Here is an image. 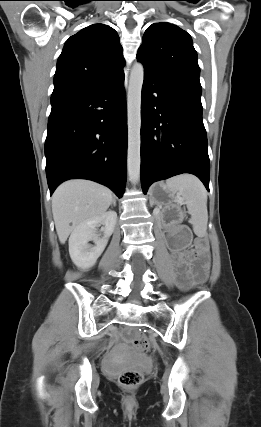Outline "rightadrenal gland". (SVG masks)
I'll list each match as a JSON object with an SVG mask.
<instances>
[{
  "mask_svg": "<svg viewBox=\"0 0 261 427\" xmlns=\"http://www.w3.org/2000/svg\"><path fill=\"white\" fill-rule=\"evenodd\" d=\"M111 205H113L114 207L116 206V200L113 199Z\"/></svg>",
  "mask_w": 261,
  "mask_h": 427,
  "instance_id": "obj_1",
  "label": "right adrenal gland"
}]
</instances>
